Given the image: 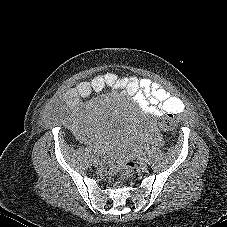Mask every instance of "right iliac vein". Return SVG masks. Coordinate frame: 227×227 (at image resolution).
Segmentation results:
<instances>
[{"label": "right iliac vein", "instance_id": "obj_1", "mask_svg": "<svg viewBox=\"0 0 227 227\" xmlns=\"http://www.w3.org/2000/svg\"><path fill=\"white\" fill-rule=\"evenodd\" d=\"M92 164H93L94 166H98L99 160H98L97 158L93 157V158H92Z\"/></svg>", "mask_w": 227, "mask_h": 227}]
</instances>
